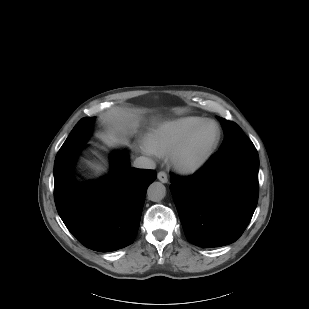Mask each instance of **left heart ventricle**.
<instances>
[{
    "label": "left heart ventricle",
    "instance_id": "obj_1",
    "mask_svg": "<svg viewBox=\"0 0 309 309\" xmlns=\"http://www.w3.org/2000/svg\"><path fill=\"white\" fill-rule=\"evenodd\" d=\"M217 134L216 127L214 125H207L204 127L192 140L188 146L185 156L188 159H195L199 157L207 147L213 142Z\"/></svg>",
    "mask_w": 309,
    "mask_h": 309
}]
</instances>
